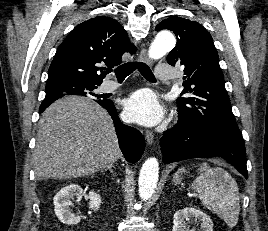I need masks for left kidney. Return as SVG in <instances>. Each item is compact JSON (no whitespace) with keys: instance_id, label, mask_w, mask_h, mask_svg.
<instances>
[{"instance_id":"5707ae66","label":"left kidney","mask_w":268,"mask_h":231,"mask_svg":"<svg viewBox=\"0 0 268 231\" xmlns=\"http://www.w3.org/2000/svg\"><path fill=\"white\" fill-rule=\"evenodd\" d=\"M190 220H200L201 225L198 231H213V222L211 218L193 207H186L178 210L174 214L172 231H196V228H190Z\"/></svg>"}]
</instances>
